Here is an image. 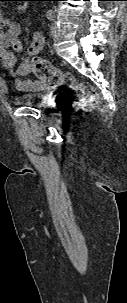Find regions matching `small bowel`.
<instances>
[{"mask_svg": "<svg viewBox=\"0 0 127 303\" xmlns=\"http://www.w3.org/2000/svg\"><path fill=\"white\" fill-rule=\"evenodd\" d=\"M20 24L7 19L0 11V63L12 76L17 77L16 88L19 91H38L45 87V81L41 78L21 79L35 74L32 57L38 55L44 46V37L35 33L32 42L27 47L26 55L20 58L23 51L19 43Z\"/></svg>", "mask_w": 127, "mask_h": 303, "instance_id": "obj_1", "label": "small bowel"}]
</instances>
